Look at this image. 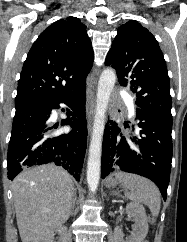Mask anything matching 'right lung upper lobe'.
Instances as JSON below:
<instances>
[{"mask_svg": "<svg viewBox=\"0 0 187 242\" xmlns=\"http://www.w3.org/2000/svg\"><path fill=\"white\" fill-rule=\"evenodd\" d=\"M93 59L91 40L80 19L54 22L27 55L15 107H32L85 86Z\"/></svg>", "mask_w": 187, "mask_h": 242, "instance_id": "cb5924a9", "label": "right lung upper lobe"}]
</instances>
